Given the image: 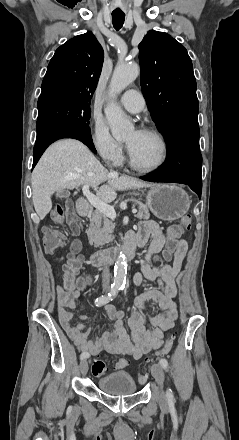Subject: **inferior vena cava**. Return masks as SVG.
<instances>
[{"mask_svg":"<svg viewBox=\"0 0 239 440\" xmlns=\"http://www.w3.org/2000/svg\"><path fill=\"white\" fill-rule=\"evenodd\" d=\"M111 172H113V170H111ZM116 174V172H115ZM110 272H109V266L107 264V262H104V270H103V274H102V288L103 290H105V292H108L110 286Z\"/></svg>","mask_w":239,"mask_h":440,"instance_id":"inferior-vena-cava-1","label":"inferior vena cava"}]
</instances>
